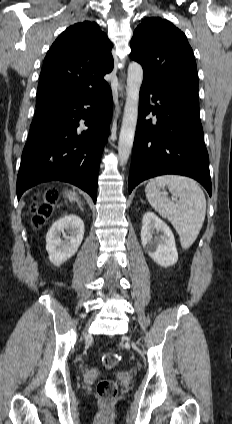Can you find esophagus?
<instances>
[{"label":"esophagus","mask_w":232,"mask_h":424,"mask_svg":"<svg viewBox=\"0 0 232 424\" xmlns=\"http://www.w3.org/2000/svg\"><path fill=\"white\" fill-rule=\"evenodd\" d=\"M125 74L124 72L121 73V77L119 79V85H118V93L120 97V104L122 105V100L125 97Z\"/></svg>","instance_id":"esophagus-1"}]
</instances>
